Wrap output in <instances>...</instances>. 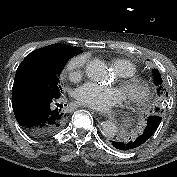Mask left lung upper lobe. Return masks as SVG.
Masks as SVG:
<instances>
[{
  "label": "left lung upper lobe",
  "mask_w": 177,
  "mask_h": 177,
  "mask_svg": "<svg viewBox=\"0 0 177 177\" xmlns=\"http://www.w3.org/2000/svg\"><path fill=\"white\" fill-rule=\"evenodd\" d=\"M153 75L155 84L157 86V100L159 106V103H162L165 98L168 97V94L166 92L165 86L163 85L161 75L157 69L153 70ZM153 113L160 115L159 108L154 109Z\"/></svg>",
  "instance_id": "1"
}]
</instances>
